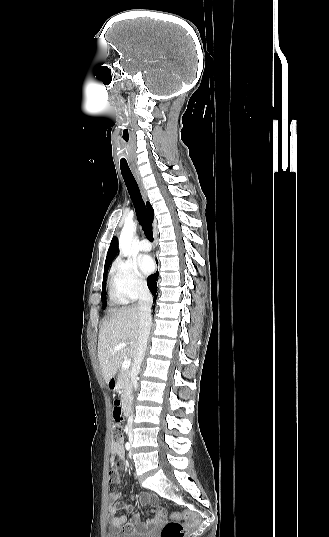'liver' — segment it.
Masks as SVG:
<instances>
[{
	"mask_svg": "<svg viewBox=\"0 0 329 537\" xmlns=\"http://www.w3.org/2000/svg\"><path fill=\"white\" fill-rule=\"evenodd\" d=\"M139 312L136 307H128L113 311L100 328L98 340V359L106 383L112 379L125 357L136 355L139 341ZM128 343L112 353L120 343Z\"/></svg>",
	"mask_w": 329,
	"mask_h": 537,
	"instance_id": "6515ba94",
	"label": "liver"
}]
</instances>
